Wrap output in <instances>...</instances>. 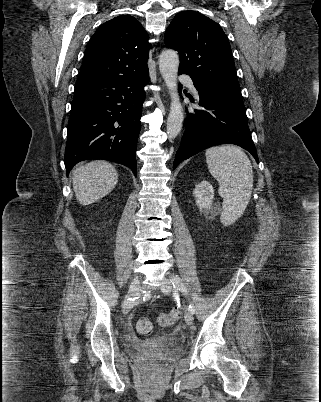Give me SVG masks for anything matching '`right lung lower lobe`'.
<instances>
[{
  "instance_id": "obj_1",
  "label": "right lung lower lobe",
  "mask_w": 321,
  "mask_h": 402,
  "mask_svg": "<svg viewBox=\"0 0 321 402\" xmlns=\"http://www.w3.org/2000/svg\"><path fill=\"white\" fill-rule=\"evenodd\" d=\"M149 72L75 85L64 163L67 175L88 159L128 166L136 175V149L141 129L144 87Z\"/></svg>"
}]
</instances>
